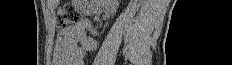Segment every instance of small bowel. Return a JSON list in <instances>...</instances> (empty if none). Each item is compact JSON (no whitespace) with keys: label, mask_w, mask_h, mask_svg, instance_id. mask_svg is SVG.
Instances as JSON below:
<instances>
[{"label":"small bowel","mask_w":232,"mask_h":65,"mask_svg":"<svg viewBox=\"0 0 232 65\" xmlns=\"http://www.w3.org/2000/svg\"><path fill=\"white\" fill-rule=\"evenodd\" d=\"M87 26L88 24L86 22H81L77 26L59 31L57 46L58 41H61L64 52L63 56L59 57L67 65H83L85 54L96 48V42L86 35ZM79 42L80 45H78Z\"/></svg>","instance_id":"obj_1"}]
</instances>
